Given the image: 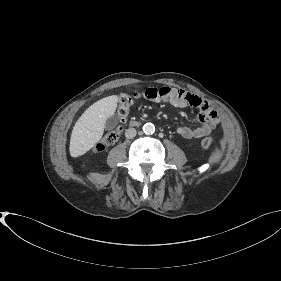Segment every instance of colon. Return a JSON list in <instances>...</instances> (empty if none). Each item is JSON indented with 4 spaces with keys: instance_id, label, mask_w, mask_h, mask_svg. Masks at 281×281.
Masks as SVG:
<instances>
[{
    "instance_id": "colon-1",
    "label": "colon",
    "mask_w": 281,
    "mask_h": 281,
    "mask_svg": "<svg viewBox=\"0 0 281 281\" xmlns=\"http://www.w3.org/2000/svg\"><path fill=\"white\" fill-rule=\"evenodd\" d=\"M132 105V97L128 94H122L118 99V116L121 123H124L129 114L130 108ZM122 128L117 127L116 129L106 133L104 137L94 146L95 152H101L105 150L107 147L114 145L119 138L121 137ZM215 144V141L211 138H203L200 141V145L202 148H211Z\"/></svg>"
}]
</instances>
